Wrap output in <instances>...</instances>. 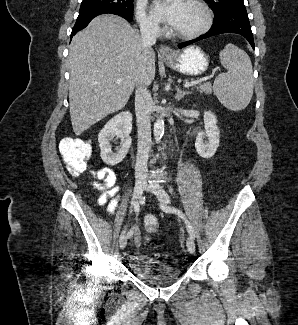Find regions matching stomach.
I'll use <instances>...</instances> for the list:
<instances>
[{
	"label": "stomach",
	"instance_id": "stomach-1",
	"mask_svg": "<svg viewBox=\"0 0 298 325\" xmlns=\"http://www.w3.org/2000/svg\"><path fill=\"white\" fill-rule=\"evenodd\" d=\"M162 62L167 66L180 72V74H188V76H200L204 74L209 68V56L202 50L201 46L197 44H190L182 50H175L171 58H164Z\"/></svg>",
	"mask_w": 298,
	"mask_h": 325
}]
</instances>
